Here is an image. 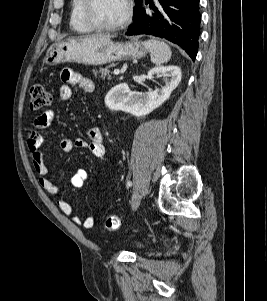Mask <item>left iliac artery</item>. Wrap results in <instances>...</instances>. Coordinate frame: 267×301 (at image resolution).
I'll list each match as a JSON object with an SVG mask.
<instances>
[{
    "mask_svg": "<svg viewBox=\"0 0 267 301\" xmlns=\"http://www.w3.org/2000/svg\"><path fill=\"white\" fill-rule=\"evenodd\" d=\"M126 186L129 188V187H131L132 186V181H128L127 183H126Z\"/></svg>",
    "mask_w": 267,
    "mask_h": 301,
    "instance_id": "left-iliac-artery-1",
    "label": "left iliac artery"
}]
</instances>
